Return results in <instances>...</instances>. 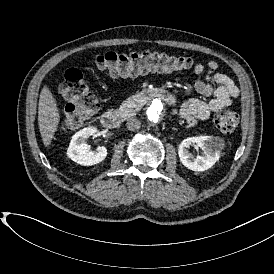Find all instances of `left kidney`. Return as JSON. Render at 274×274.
I'll return each instance as SVG.
<instances>
[{
    "mask_svg": "<svg viewBox=\"0 0 274 274\" xmlns=\"http://www.w3.org/2000/svg\"><path fill=\"white\" fill-rule=\"evenodd\" d=\"M190 146L200 147L203 154L195 158L187 150ZM224 150V140L218 136L199 135L183 140L178 149V155L182 164L195 172L206 171L213 167Z\"/></svg>",
    "mask_w": 274,
    "mask_h": 274,
    "instance_id": "obj_1",
    "label": "left kidney"
}]
</instances>
